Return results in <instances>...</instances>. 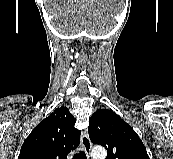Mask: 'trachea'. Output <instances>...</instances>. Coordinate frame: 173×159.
I'll return each mask as SVG.
<instances>
[{
  "label": "trachea",
  "mask_w": 173,
  "mask_h": 159,
  "mask_svg": "<svg viewBox=\"0 0 173 159\" xmlns=\"http://www.w3.org/2000/svg\"><path fill=\"white\" fill-rule=\"evenodd\" d=\"M73 159H87L86 154L83 151H79L74 154Z\"/></svg>",
  "instance_id": "trachea-1"
}]
</instances>
